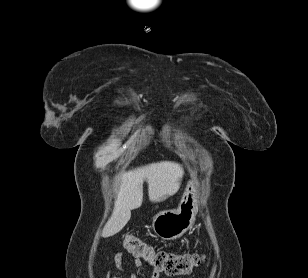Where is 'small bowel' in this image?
<instances>
[{
    "mask_svg": "<svg viewBox=\"0 0 308 278\" xmlns=\"http://www.w3.org/2000/svg\"><path fill=\"white\" fill-rule=\"evenodd\" d=\"M114 261H115V265L118 268V270L120 271H128L131 268H137L141 265V261L139 259H135L133 264L131 266H128L125 264L124 260H123V255L122 253L118 252L115 254L114 256ZM158 272H153V274L151 275V278H158ZM106 278H123L122 276H118V275H113L110 272L107 273ZM126 278H137L136 275L132 272H130Z\"/></svg>",
    "mask_w": 308,
    "mask_h": 278,
    "instance_id": "1",
    "label": "small bowel"
}]
</instances>
